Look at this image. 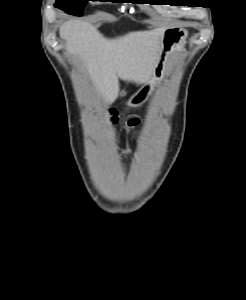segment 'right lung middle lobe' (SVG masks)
Masks as SVG:
<instances>
[{"mask_svg": "<svg viewBox=\"0 0 246 300\" xmlns=\"http://www.w3.org/2000/svg\"><path fill=\"white\" fill-rule=\"evenodd\" d=\"M87 1L94 0H57L55 7L64 10L68 14L82 16L83 7Z\"/></svg>", "mask_w": 246, "mask_h": 300, "instance_id": "obj_1", "label": "right lung middle lobe"}]
</instances>
